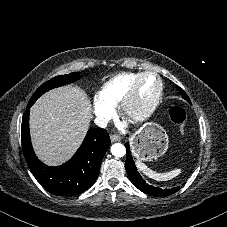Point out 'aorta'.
<instances>
[{"label": "aorta", "instance_id": "1", "mask_svg": "<svg viewBox=\"0 0 227 227\" xmlns=\"http://www.w3.org/2000/svg\"><path fill=\"white\" fill-rule=\"evenodd\" d=\"M111 153L115 157H123L126 154V148L123 144L115 143L111 146Z\"/></svg>", "mask_w": 227, "mask_h": 227}]
</instances>
